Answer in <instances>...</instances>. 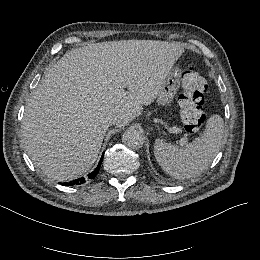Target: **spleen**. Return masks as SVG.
<instances>
[{
  "label": "spleen",
  "instance_id": "3e777b00",
  "mask_svg": "<svg viewBox=\"0 0 260 260\" xmlns=\"http://www.w3.org/2000/svg\"><path fill=\"white\" fill-rule=\"evenodd\" d=\"M223 136L224 121L215 114L207 120L203 134L185 146L156 139L154 155L170 176L176 179L196 177L208 168L219 152Z\"/></svg>",
  "mask_w": 260,
  "mask_h": 260
}]
</instances>
